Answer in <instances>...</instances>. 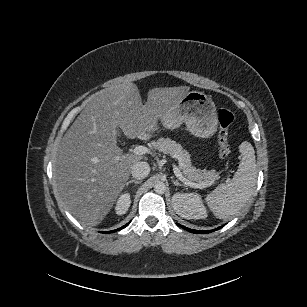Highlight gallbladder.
Segmentation results:
<instances>
[{"mask_svg": "<svg viewBox=\"0 0 307 307\" xmlns=\"http://www.w3.org/2000/svg\"><path fill=\"white\" fill-rule=\"evenodd\" d=\"M114 128H115L116 132H119L120 127H117V124H114ZM117 137H120V134H117Z\"/></svg>", "mask_w": 307, "mask_h": 307, "instance_id": "bac80fb5", "label": "gallbladder"}]
</instances>
